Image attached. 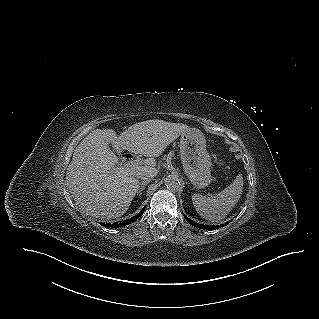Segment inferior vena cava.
Returning <instances> with one entry per match:
<instances>
[{
	"label": "inferior vena cava",
	"mask_w": 319,
	"mask_h": 319,
	"mask_svg": "<svg viewBox=\"0 0 319 319\" xmlns=\"http://www.w3.org/2000/svg\"><path fill=\"white\" fill-rule=\"evenodd\" d=\"M156 171L154 169L141 170L137 172L136 177L138 179L149 180L156 176Z\"/></svg>",
	"instance_id": "602c4592"
}]
</instances>
